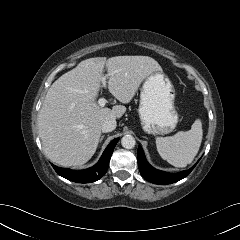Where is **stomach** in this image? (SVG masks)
Returning a JSON list of instances; mask_svg holds the SVG:
<instances>
[{"label":"stomach","instance_id":"1","mask_svg":"<svg viewBox=\"0 0 240 240\" xmlns=\"http://www.w3.org/2000/svg\"><path fill=\"white\" fill-rule=\"evenodd\" d=\"M174 102L175 89L162 71L147 76L141 88L138 109L142 129L152 135L172 132L178 123Z\"/></svg>","mask_w":240,"mask_h":240}]
</instances>
